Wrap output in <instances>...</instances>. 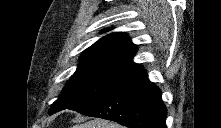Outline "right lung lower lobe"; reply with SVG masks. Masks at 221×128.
<instances>
[{
    "label": "right lung lower lobe",
    "instance_id": "right-lung-lower-lobe-1",
    "mask_svg": "<svg viewBox=\"0 0 221 128\" xmlns=\"http://www.w3.org/2000/svg\"><path fill=\"white\" fill-rule=\"evenodd\" d=\"M72 110L130 128H166L167 109L161 90L149 81L144 69L127 77L99 98Z\"/></svg>",
    "mask_w": 221,
    "mask_h": 128
}]
</instances>
